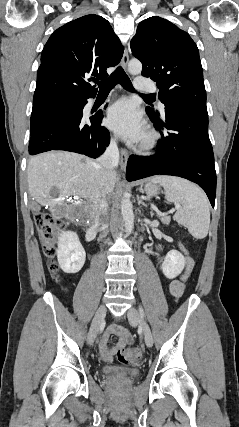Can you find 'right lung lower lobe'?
I'll return each mask as SVG.
<instances>
[{
  "label": "right lung lower lobe",
  "instance_id": "right-lung-lower-lobe-1",
  "mask_svg": "<svg viewBox=\"0 0 239 427\" xmlns=\"http://www.w3.org/2000/svg\"><path fill=\"white\" fill-rule=\"evenodd\" d=\"M72 96L58 109L45 116L31 133L29 154L50 150H66L96 158L110 142L109 131L101 126L103 113L83 116L88 98Z\"/></svg>",
  "mask_w": 239,
  "mask_h": 427
}]
</instances>
